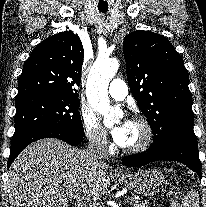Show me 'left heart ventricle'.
I'll list each match as a JSON object with an SVG mask.
<instances>
[{
	"instance_id": "1",
	"label": "left heart ventricle",
	"mask_w": 206,
	"mask_h": 207,
	"mask_svg": "<svg viewBox=\"0 0 206 207\" xmlns=\"http://www.w3.org/2000/svg\"><path fill=\"white\" fill-rule=\"evenodd\" d=\"M144 137V131L142 127L135 123V122H130L129 125V134H128V139L126 142L125 147H133L140 143Z\"/></svg>"
}]
</instances>
